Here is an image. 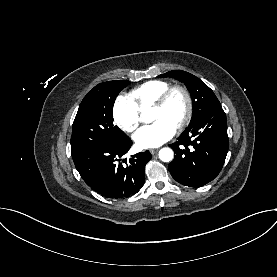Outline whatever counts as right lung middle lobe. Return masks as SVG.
<instances>
[{
    "label": "right lung middle lobe",
    "instance_id": "right-lung-middle-lobe-1",
    "mask_svg": "<svg viewBox=\"0 0 277 277\" xmlns=\"http://www.w3.org/2000/svg\"><path fill=\"white\" fill-rule=\"evenodd\" d=\"M129 84L128 80L103 82L84 97L73 122L72 155L99 143H121L128 139L113 124L112 109L119 92Z\"/></svg>",
    "mask_w": 277,
    "mask_h": 277
}]
</instances>
